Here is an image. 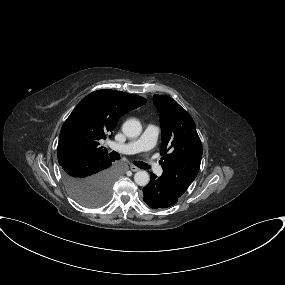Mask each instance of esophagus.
<instances>
[{"label": "esophagus", "mask_w": 285, "mask_h": 285, "mask_svg": "<svg viewBox=\"0 0 285 285\" xmlns=\"http://www.w3.org/2000/svg\"><path fill=\"white\" fill-rule=\"evenodd\" d=\"M130 169H131V171H133V172L139 171V168L136 167L135 165H131V166H130Z\"/></svg>", "instance_id": "obj_1"}]
</instances>
